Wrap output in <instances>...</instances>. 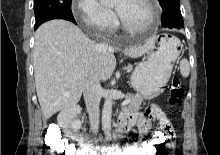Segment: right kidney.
<instances>
[{
	"mask_svg": "<svg viewBox=\"0 0 220 155\" xmlns=\"http://www.w3.org/2000/svg\"><path fill=\"white\" fill-rule=\"evenodd\" d=\"M72 128L74 129L75 132H77L78 130H80V128H81V122H80V120H75V121L72 123Z\"/></svg>",
	"mask_w": 220,
	"mask_h": 155,
	"instance_id": "obj_1",
	"label": "right kidney"
}]
</instances>
